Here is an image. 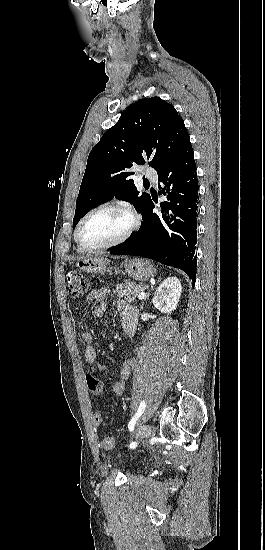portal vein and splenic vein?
<instances>
[{"instance_id": "portal-vein-and-splenic-vein-1", "label": "portal vein and splenic vein", "mask_w": 265, "mask_h": 550, "mask_svg": "<svg viewBox=\"0 0 265 550\" xmlns=\"http://www.w3.org/2000/svg\"><path fill=\"white\" fill-rule=\"evenodd\" d=\"M137 297H138V299H140V300H141V299H144V298L146 297V293H145V292H141V293L138 294Z\"/></svg>"}]
</instances>
